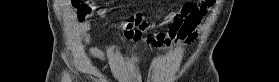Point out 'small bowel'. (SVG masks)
Returning a JSON list of instances; mask_svg holds the SVG:
<instances>
[{
	"label": "small bowel",
	"instance_id": "c3829d8e",
	"mask_svg": "<svg viewBox=\"0 0 279 82\" xmlns=\"http://www.w3.org/2000/svg\"><path fill=\"white\" fill-rule=\"evenodd\" d=\"M70 4L76 10L83 42L89 45L90 36L88 31L92 17L91 6L82 7L75 1H70ZM212 5L213 2L211 1L189 2L180 9L170 11L166 15L164 22L158 25L159 28H166V32L151 31L149 30V25L144 21H142L138 29H133L125 21L120 22L118 28L128 40H146L159 48L175 44H187L195 38L197 27L204 20ZM98 12L100 15H105L107 10L101 9ZM113 49V45H109L107 51L98 47L88 46L87 51L93 57L106 61L109 59V51Z\"/></svg>",
	"mask_w": 279,
	"mask_h": 82
}]
</instances>
